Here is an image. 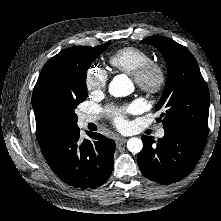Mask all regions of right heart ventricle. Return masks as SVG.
<instances>
[{
	"instance_id": "obj_1",
	"label": "right heart ventricle",
	"mask_w": 221,
	"mask_h": 221,
	"mask_svg": "<svg viewBox=\"0 0 221 221\" xmlns=\"http://www.w3.org/2000/svg\"><path fill=\"white\" fill-rule=\"evenodd\" d=\"M151 60L150 55L134 46H126L112 52L108 63L115 70L134 77L136 72Z\"/></svg>"
}]
</instances>
